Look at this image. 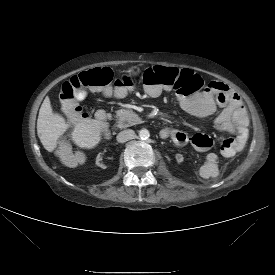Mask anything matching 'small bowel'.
I'll return each instance as SVG.
<instances>
[{"label": "small bowel", "instance_id": "obj_1", "mask_svg": "<svg viewBox=\"0 0 275 275\" xmlns=\"http://www.w3.org/2000/svg\"><path fill=\"white\" fill-rule=\"evenodd\" d=\"M180 105L188 113L198 118H205L215 114L214 127L229 134L236 143V151L245 146L249 130V119L241 99L228 85L222 82H211L206 90L199 95H186L180 99ZM166 135L160 133L162 138H170L178 144L191 142L195 149L202 153V162L199 168L200 181L205 186L216 183L221 174L220 153L213 149V139L204 133H194L189 136L181 130L165 128Z\"/></svg>", "mask_w": 275, "mask_h": 275}]
</instances>
